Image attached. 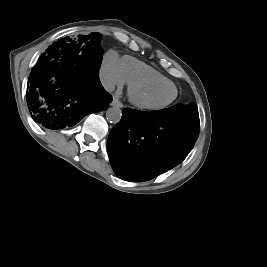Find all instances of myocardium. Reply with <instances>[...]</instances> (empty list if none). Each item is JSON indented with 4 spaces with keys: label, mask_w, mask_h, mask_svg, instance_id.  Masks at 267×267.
<instances>
[{
    "label": "myocardium",
    "mask_w": 267,
    "mask_h": 267,
    "mask_svg": "<svg viewBox=\"0 0 267 267\" xmlns=\"http://www.w3.org/2000/svg\"><path fill=\"white\" fill-rule=\"evenodd\" d=\"M163 84L171 85L175 90V94L170 101H168L164 104H160V105H152V104L145 103L138 98L137 91L139 89H141L143 87H147V86L163 85ZM128 97H129V100L131 101V103L134 104L136 107H138L140 109H144V110L156 111V110L165 109L168 106H170L178 97V89H177L176 85L171 81H161V80H153V79L138 80V81H135V82H132L129 84Z\"/></svg>",
    "instance_id": "myocardium-1"
}]
</instances>
